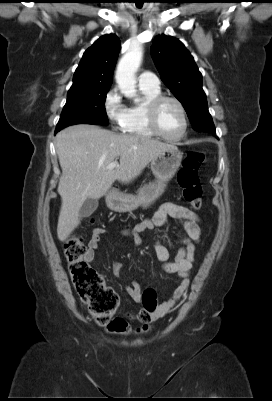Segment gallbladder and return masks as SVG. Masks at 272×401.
<instances>
[{"mask_svg":"<svg viewBox=\"0 0 272 401\" xmlns=\"http://www.w3.org/2000/svg\"><path fill=\"white\" fill-rule=\"evenodd\" d=\"M98 200L93 198H87L82 207L80 208V215L82 217H89L91 214L95 212L98 207Z\"/></svg>","mask_w":272,"mask_h":401,"instance_id":"1","label":"gallbladder"}]
</instances>
